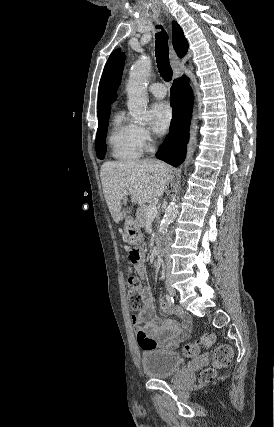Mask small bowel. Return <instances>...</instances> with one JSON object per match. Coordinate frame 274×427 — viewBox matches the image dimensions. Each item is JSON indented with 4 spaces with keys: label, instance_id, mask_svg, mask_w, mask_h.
<instances>
[{
    "label": "small bowel",
    "instance_id": "c3829d8e",
    "mask_svg": "<svg viewBox=\"0 0 274 427\" xmlns=\"http://www.w3.org/2000/svg\"><path fill=\"white\" fill-rule=\"evenodd\" d=\"M135 268L140 277L146 276L147 266L142 259L136 263ZM142 299L143 304L139 313L131 318L139 347L147 353L157 349H176L180 343L189 337L190 318L186 314H182L181 322H178L158 316L155 312L152 292L149 287L143 288ZM160 309L164 313L169 312V306L165 300L160 301Z\"/></svg>",
    "mask_w": 274,
    "mask_h": 427
}]
</instances>
